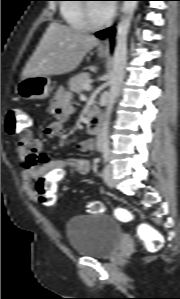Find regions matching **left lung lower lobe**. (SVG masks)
I'll return each instance as SVG.
<instances>
[{
  "mask_svg": "<svg viewBox=\"0 0 180 299\" xmlns=\"http://www.w3.org/2000/svg\"><path fill=\"white\" fill-rule=\"evenodd\" d=\"M138 1H148V0H138ZM96 36L99 38L110 37L111 40L114 38V28H107L105 30L99 31L96 33Z\"/></svg>",
  "mask_w": 180,
  "mask_h": 299,
  "instance_id": "left-lung-lower-lobe-1",
  "label": "left lung lower lobe"
}]
</instances>
